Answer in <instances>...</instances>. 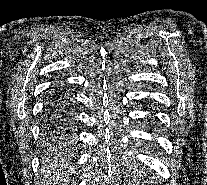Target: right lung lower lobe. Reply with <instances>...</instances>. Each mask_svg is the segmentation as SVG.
<instances>
[{
    "instance_id": "obj_1",
    "label": "right lung lower lobe",
    "mask_w": 207,
    "mask_h": 185,
    "mask_svg": "<svg viewBox=\"0 0 207 185\" xmlns=\"http://www.w3.org/2000/svg\"><path fill=\"white\" fill-rule=\"evenodd\" d=\"M71 102L60 87L48 94L44 116V142L55 150L68 148L72 142L74 114Z\"/></svg>"
}]
</instances>
